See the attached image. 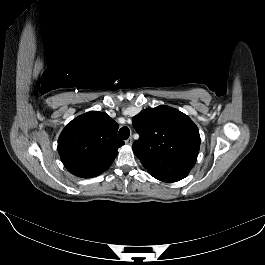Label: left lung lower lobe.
<instances>
[{
    "mask_svg": "<svg viewBox=\"0 0 265 265\" xmlns=\"http://www.w3.org/2000/svg\"><path fill=\"white\" fill-rule=\"evenodd\" d=\"M196 160H183L166 165H153L147 168L149 174L163 182H176L185 178Z\"/></svg>",
    "mask_w": 265,
    "mask_h": 265,
    "instance_id": "0a47b994",
    "label": "left lung lower lobe"
}]
</instances>
